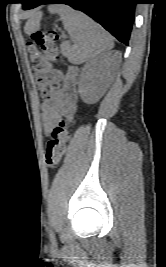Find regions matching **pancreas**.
Instances as JSON below:
<instances>
[{"instance_id": "obj_1", "label": "pancreas", "mask_w": 166, "mask_h": 267, "mask_svg": "<svg viewBox=\"0 0 166 267\" xmlns=\"http://www.w3.org/2000/svg\"><path fill=\"white\" fill-rule=\"evenodd\" d=\"M69 48L68 43H62L61 45V49H62V53L66 54V50Z\"/></svg>"}]
</instances>
